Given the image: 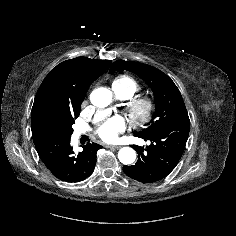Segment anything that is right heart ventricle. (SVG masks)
<instances>
[{
  "label": "right heart ventricle",
  "mask_w": 236,
  "mask_h": 236,
  "mask_svg": "<svg viewBox=\"0 0 236 236\" xmlns=\"http://www.w3.org/2000/svg\"><path fill=\"white\" fill-rule=\"evenodd\" d=\"M112 87L122 93L125 99L132 97L139 90L136 80L127 75L116 78L112 83Z\"/></svg>",
  "instance_id": "e07e8e85"
}]
</instances>
